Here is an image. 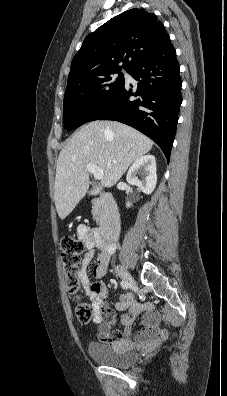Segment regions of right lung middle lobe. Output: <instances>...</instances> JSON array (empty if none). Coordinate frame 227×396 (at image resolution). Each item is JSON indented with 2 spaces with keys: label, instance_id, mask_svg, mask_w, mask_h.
<instances>
[{
  "label": "right lung middle lobe",
  "instance_id": "dd1d6c3e",
  "mask_svg": "<svg viewBox=\"0 0 227 396\" xmlns=\"http://www.w3.org/2000/svg\"><path fill=\"white\" fill-rule=\"evenodd\" d=\"M118 73L116 80L112 75ZM123 74L111 71L67 87L63 104L65 129L73 130L102 109L124 86Z\"/></svg>",
  "mask_w": 227,
  "mask_h": 396
}]
</instances>
